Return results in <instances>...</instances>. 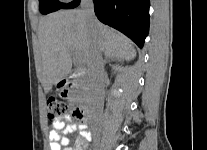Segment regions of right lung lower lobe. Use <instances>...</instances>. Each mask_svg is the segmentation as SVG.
Segmentation results:
<instances>
[{
	"label": "right lung lower lobe",
	"instance_id": "1",
	"mask_svg": "<svg viewBox=\"0 0 207 150\" xmlns=\"http://www.w3.org/2000/svg\"><path fill=\"white\" fill-rule=\"evenodd\" d=\"M98 19L121 31L140 48L149 31V0H93ZM80 0L65 4L63 9H72Z\"/></svg>",
	"mask_w": 207,
	"mask_h": 150
}]
</instances>
